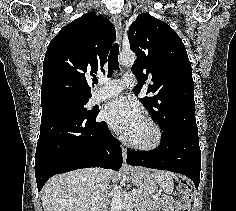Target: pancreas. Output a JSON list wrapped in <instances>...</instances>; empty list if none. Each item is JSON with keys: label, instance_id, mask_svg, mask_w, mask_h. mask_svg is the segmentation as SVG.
<instances>
[{"label": "pancreas", "instance_id": "obj_1", "mask_svg": "<svg viewBox=\"0 0 236 211\" xmlns=\"http://www.w3.org/2000/svg\"><path fill=\"white\" fill-rule=\"evenodd\" d=\"M134 206L138 211H150V209L160 204L159 200L146 198L142 191L137 190L133 193Z\"/></svg>", "mask_w": 236, "mask_h": 211}]
</instances>
